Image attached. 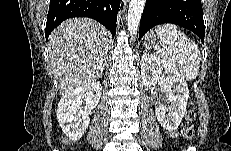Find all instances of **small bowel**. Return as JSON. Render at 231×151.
<instances>
[{
	"instance_id": "small-bowel-1",
	"label": "small bowel",
	"mask_w": 231,
	"mask_h": 151,
	"mask_svg": "<svg viewBox=\"0 0 231 151\" xmlns=\"http://www.w3.org/2000/svg\"><path fill=\"white\" fill-rule=\"evenodd\" d=\"M170 135L173 137L176 135V132H171Z\"/></svg>"
}]
</instances>
